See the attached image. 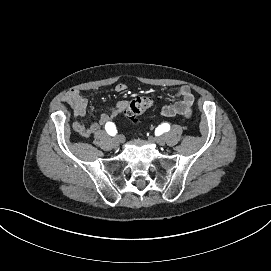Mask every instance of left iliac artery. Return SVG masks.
Instances as JSON below:
<instances>
[{"mask_svg":"<svg viewBox=\"0 0 271 271\" xmlns=\"http://www.w3.org/2000/svg\"><path fill=\"white\" fill-rule=\"evenodd\" d=\"M159 130L161 132H166V131H169L170 130V125L168 123H161L159 125Z\"/></svg>","mask_w":271,"mask_h":271,"instance_id":"44dca946","label":"left iliac artery"}]
</instances>
